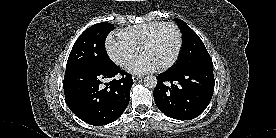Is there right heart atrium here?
Wrapping results in <instances>:
<instances>
[{"mask_svg": "<svg viewBox=\"0 0 276 138\" xmlns=\"http://www.w3.org/2000/svg\"><path fill=\"white\" fill-rule=\"evenodd\" d=\"M106 51L110 59L120 67H127L139 53L135 45L119 34L108 36Z\"/></svg>", "mask_w": 276, "mask_h": 138, "instance_id": "d8ad5b80", "label": "right heart atrium"}]
</instances>
